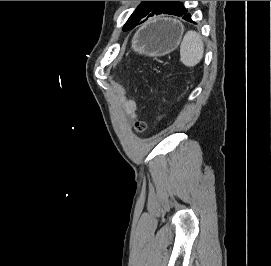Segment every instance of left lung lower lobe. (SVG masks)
<instances>
[{
	"label": "left lung lower lobe",
	"mask_w": 271,
	"mask_h": 266,
	"mask_svg": "<svg viewBox=\"0 0 271 266\" xmlns=\"http://www.w3.org/2000/svg\"><path fill=\"white\" fill-rule=\"evenodd\" d=\"M159 14H171V15H176V16H180L182 17L183 19L189 21V22H192L191 20V15L188 13V10L184 7L183 3L182 2H177V4L168 12H161V11H158V12H152L151 14H149L148 16H146L145 20H147V18L149 17H152L154 15H159ZM145 20L143 21H140L138 24L144 22ZM137 24V25H138ZM124 30H129V29H124Z\"/></svg>",
	"instance_id": "0a47b994"
}]
</instances>
